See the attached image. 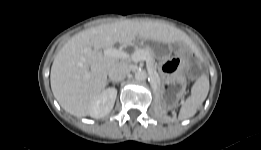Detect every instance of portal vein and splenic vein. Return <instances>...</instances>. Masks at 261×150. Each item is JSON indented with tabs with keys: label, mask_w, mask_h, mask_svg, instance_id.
<instances>
[{
	"label": "portal vein and splenic vein",
	"mask_w": 261,
	"mask_h": 150,
	"mask_svg": "<svg viewBox=\"0 0 261 150\" xmlns=\"http://www.w3.org/2000/svg\"><path fill=\"white\" fill-rule=\"evenodd\" d=\"M104 54L107 56H110V57L131 60L134 62H139V61L147 62L149 60V56H148L147 52L143 49H137L132 54H129L121 48L116 49V48L108 47L104 50ZM147 68H148V71L152 74V70L148 63H147Z\"/></svg>",
	"instance_id": "18ae733b"
}]
</instances>
